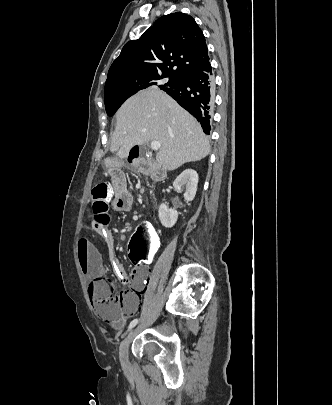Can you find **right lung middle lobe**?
Listing matches in <instances>:
<instances>
[{"instance_id": "obj_1", "label": "right lung middle lobe", "mask_w": 332, "mask_h": 405, "mask_svg": "<svg viewBox=\"0 0 332 405\" xmlns=\"http://www.w3.org/2000/svg\"><path fill=\"white\" fill-rule=\"evenodd\" d=\"M169 78L164 82V78ZM180 80L179 76L173 75H139L129 76L117 80L105 87V109L108 116H112L118 108L133 94L145 88H160L169 91L175 88Z\"/></svg>"}]
</instances>
